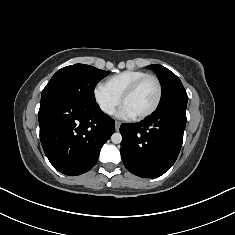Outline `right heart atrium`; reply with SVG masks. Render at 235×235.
I'll return each mask as SVG.
<instances>
[{
    "mask_svg": "<svg viewBox=\"0 0 235 235\" xmlns=\"http://www.w3.org/2000/svg\"><path fill=\"white\" fill-rule=\"evenodd\" d=\"M93 96L100 110L107 115H112L120 104V98L104 83H98L94 87Z\"/></svg>",
    "mask_w": 235,
    "mask_h": 235,
    "instance_id": "1",
    "label": "right heart atrium"
}]
</instances>
